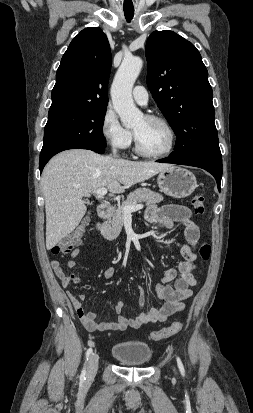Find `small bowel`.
Listing matches in <instances>:
<instances>
[{
    "instance_id": "obj_1",
    "label": "small bowel",
    "mask_w": 253,
    "mask_h": 413,
    "mask_svg": "<svg viewBox=\"0 0 253 413\" xmlns=\"http://www.w3.org/2000/svg\"><path fill=\"white\" fill-rule=\"evenodd\" d=\"M191 210L181 205H164L161 207L152 205L146 211L148 222L156 224L162 228L172 229L176 223L184 226L186 244L182 245L180 254L182 259L176 268L166 270L161 282L156 286L157 295L164 301L159 308H151L148 311L140 312L133 318L121 315L124 303H116L114 310L119 315L116 321H97V314L93 311L86 312L83 308L85 296L71 291H67V296L75 309L84 327L91 332L103 331H123L127 328H139L143 324L163 322L176 312L185 308L184 300L193 294L191 287L196 285V278L193 274L196 269L195 248L199 240V227L192 220ZM79 255V249L75 248L70 254L67 266L73 269L76 265L75 258ZM51 268L64 288L72 284H79L80 278L74 273L66 274L59 260L51 261ZM114 274V268L108 267L104 271V277L109 279ZM174 281V286L169 282ZM146 301V294L143 288L140 289L139 306L143 307Z\"/></svg>"
}]
</instances>
